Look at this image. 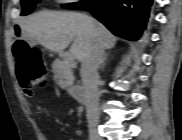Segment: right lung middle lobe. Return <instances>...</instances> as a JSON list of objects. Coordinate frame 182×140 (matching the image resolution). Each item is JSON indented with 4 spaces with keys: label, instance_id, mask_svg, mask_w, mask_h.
<instances>
[{
    "label": "right lung middle lobe",
    "instance_id": "dd1d6c3e",
    "mask_svg": "<svg viewBox=\"0 0 182 140\" xmlns=\"http://www.w3.org/2000/svg\"><path fill=\"white\" fill-rule=\"evenodd\" d=\"M37 2H39V0H22L21 15L24 16V15L30 14L34 10ZM100 2L101 0H85L80 3H70V4H65L62 6L67 9H84L86 6L93 5V4L97 5Z\"/></svg>",
    "mask_w": 182,
    "mask_h": 140
}]
</instances>
